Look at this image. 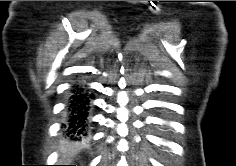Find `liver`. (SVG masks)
I'll list each match as a JSON object with an SVG mask.
<instances>
[{"label":"liver","mask_w":236,"mask_h":166,"mask_svg":"<svg viewBox=\"0 0 236 166\" xmlns=\"http://www.w3.org/2000/svg\"><path fill=\"white\" fill-rule=\"evenodd\" d=\"M59 153L61 155V162L70 161V157H72L75 153H77V147L71 144L61 145L59 146Z\"/></svg>","instance_id":"liver-1"}]
</instances>
